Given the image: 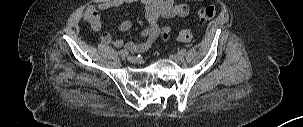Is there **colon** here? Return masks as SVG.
<instances>
[{
    "label": "colon",
    "mask_w": 303,
    "mask_h": 127,
    "mask_svg": "<svg viewBox=\"0 0 303 127\" xmlns=\"http://www.w3.org/2000/svg\"><path fill=\"white\" fill-rule=\"evenodd\" d=\"M216 14L215 8L212 6H204L200 8L197 13V18L200 22H207L214 18ZM160 38L163 41H168L170 39V33L168 30H164L161 32ZM192 38V32L189 29L181 30L178 39L180 41H189Z\"/></svg>",
    "instance_id": "5ec220e1"
}]
</instances>
